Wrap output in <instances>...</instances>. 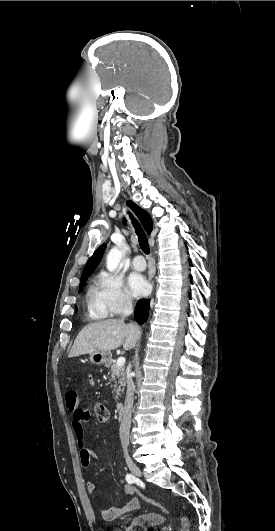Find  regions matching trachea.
Returning a JSON list of instances; mask_svg holds the SVG:
<instances>
[{
	"mask_svg": "<svg viewBox=\"0 0 275 531\" xmlns=\"http://www.w3.org/2000/svg\"><path fill=\"white\" fill-rule=\"evenodd\" d=\"M130 217H131L133 226L135 228L136 234L138 236L140 248L145 254H149L150 248H149V243H148L145 231L143 230L141 225L138 223L137 219H135L132 215Z\"/></svg>",
	"mask_w": 275,
	"mask_h": 531,
	"instance_id": "3493384b",
	"label": "trachea"
}]
</instances>
